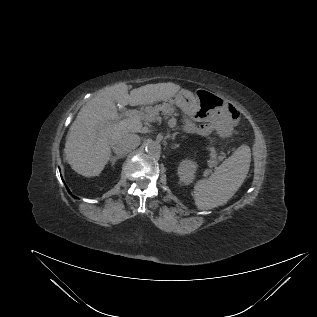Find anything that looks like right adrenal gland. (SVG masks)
<instances>
[{"label":"right adrenal gland","instance_id":"1","mask_svg":"<svg viewBox=\"0 0 317 317\" xmlns=\"http://www.w3.org/2000/svg\"><path fill=\"white\" fill-rule=\"evenodd\" d=\"M123 158V156H111L109 161L111 162V165L114 166L115 162L118 160V159H121Z\"/></svg>","mask_w":317,"mask_h":317}]
</instances>
